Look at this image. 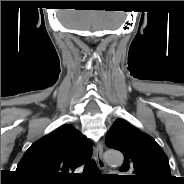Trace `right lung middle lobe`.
Listing matches in <instances>:
<instances>
[{
	"mask_svg": "<svg viewBox=\"0 0 184 184\" xmlns=\"http://www.w3.org/2000/svg\"><path fill=\"white\" fill-rule=\"evenodd\" d=\"M32 183H34V184H46V183H38V182H32Z\"/></svg>",
	"mask_w": 184,
	"mask_h": 184,
	"instance_id": "dd1d6c3e",
	"label": "right lung middle lobe"
}]
</instances>
